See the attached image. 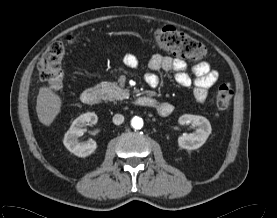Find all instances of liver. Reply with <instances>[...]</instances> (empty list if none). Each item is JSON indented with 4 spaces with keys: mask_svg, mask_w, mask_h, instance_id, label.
Instances as JSON below:
<instances>
[{
    "mask_svg": "<svg viewBox=\"0 0 277 218\" xmlns=\"http://www.w3.org/2000/svg\"><path fill=\"white\" fill-rule=\"evenodd\" d=\"M62 100L48 87H41L37 96L36 112L39 121L49 126L59 114Z\"/></svg>",
    "mask_w": 277,
    "mask_h": 218,
    "instance_id": "liver-1",
    "label": "liver"
}]
</instances>
